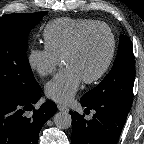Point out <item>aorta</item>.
Returning <instances> with one entry per match:
<instances>
[{"mask_svg":"<svg viewBox=\"0 0 144 144\" xmlns=\"http://www.w3.org/2000/svg\"><path fill=\"white\" fill-rule=\"evenodd\" d=\"M54 123L59 129H68L71 127L72 117L66 111L58 112L54 116Z\"/></svg>","mask_w":144,"mask_h":144,"instance_id":"1","label":"aorta"}]
</instances>
